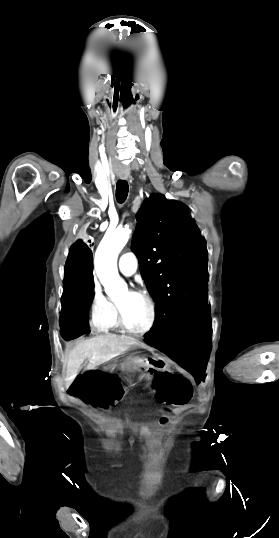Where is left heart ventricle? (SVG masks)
<instances>
[{
	"label": "left heart ventricle",
	"instance_id": "1",
	"mask_svg": "<svg viewBox=\"0 0 279 538\" xmlns=\"http://www.w3.org/2000/svg\"><path fill=\"white\" fill-rule=\"evenodd\" d=\"M117 300L122 302L126 321L131 328L140 330L146 326L149 307L142 297L135 296L126 289L119 294Z\"/></svg>",
	"mask_w": 279,
	"mask_h": 538
}]
</instances>
